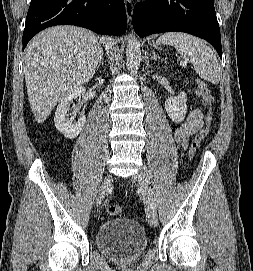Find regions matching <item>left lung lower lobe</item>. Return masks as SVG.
Masks as SVG:
<instances>
[{"label": "left lung lower lobe", "mask_w": 253, "mask_h": 271, "mask_svg": "<svg viewBox=\"0 0 253 271\" xmlns=\"http://www.w3.org/2000/svg\"><path fill=\"white\" fill-rule=\"evenodd\" d=\"M133 27L140 37L181 31L208 41L222 56L213 0H149L135 5Z\"/></svg>", "instance_id": "0a47b994"}]
</instances>
